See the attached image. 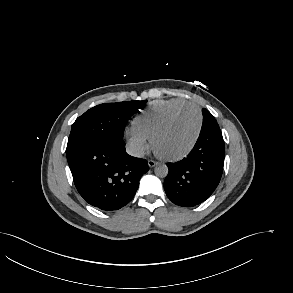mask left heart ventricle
Returning <instances> with one entry per match:
<instances>
[{
  "mask_svg": "<svg viewBox=\"0 0 293 293\" xmlns=\"http://www.w3.org/2000/svg\"><path fill=\"white\" fill-rule=\"evenodd\" d=\"M198 123V114L194 109L188 108L182 111L158 137L155 144L156 150L170 156L181 153L194 139Z\"/></svg>",
  "mask_w": 293,
  "mask_h": 293,
  "instance_id": "b2bd125f",
  "label": "left heart ventricle"
}]
</instances>
